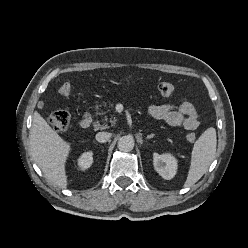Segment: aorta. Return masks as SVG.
Segmentation results:
<instances>
[{
  "mask_svg": "<svg viewBox=\"0 0 248 248\" xmlns=\"http://www.w3.org/2000/svg\"><path fill=\"white\" fill-rule=\"evenodd\" d=\"M118 149L123 152H130L134 148V139L132 136H122L118 141Z\"/></svg>",
  "mask_w": 248,
  "mask_h": 248,
  "instance_id": "obj_1",
  "label": "aorta"
}]
</instances>
